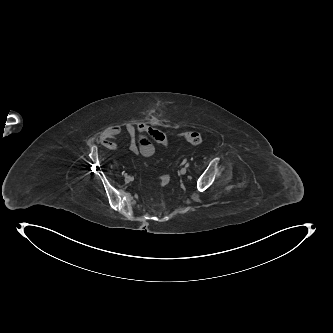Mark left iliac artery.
I'll use <instances>...</instances> for the list:
<instances>
[{
  "label": "left iliac artery",
  "instance_id": "44dca946",
  "mask_svg": "<svg viewBox=\"0 0 333 333\" xmlns=\"http://www.w3.org/2000/svg\"><path fill=\"white\" fill-rule=\"evenodd\" d=\"M183 164H186V165H185L186 167L189 166V163L187 162V160H184V161H183Z\"/></svg>",
  "mask_w": 333,
  "mask_h": 333
}]
</instances>
